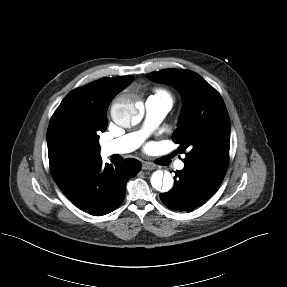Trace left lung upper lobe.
Here are the masks:
<instances>
[{
  "instance_id": "obj_1",
  "label": "left lung upper lobe",
  "mask_w": 287,
  "mask_h": 287,
  "mask_svg": "<svg viewBox=\"0 0 287 287\" xmlns=\"http://www.w3.org/2000/svg\"><path fill=\"white\" fill-rule=\"evenodd\" d=\"M147 77L173 85L184 98L179 126L172 135L178 151L186 153L184 164L222 182L229 162L230 120L220 94L189 70L167 69Z\"/></svg>"
}]
</instances>
